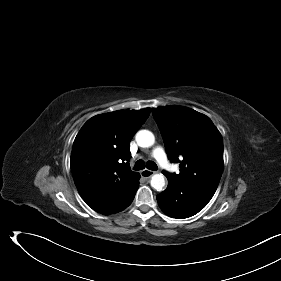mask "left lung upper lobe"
<instances>
[{
	"instance_id": "left-lung-upper-lobe-1",
	"label": "left lung upper lobe",
	"mask_w": 281,
	"mask_h": 281,
	"mask_svg": "<svg viewBox=\"0 0 281 281\" xmlns=\"http://www.w3.org/2000/svg\"><path fill=\"white\" fill-rule=\"evenodd\" d=\"M152 113L168 158L180 163L179 174H163L167 179L193 183L215 193L224 166L223 139L211 119L180 106L153 108Z\"/></svg>"
}]
</instances>
